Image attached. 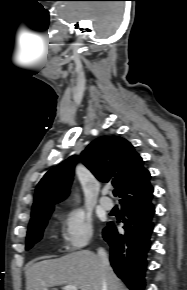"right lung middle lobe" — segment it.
Masks as SVG:
<instances>
[{
    "label": "right lung middle lobe",
    "mask_w": 187,
    "mask_h": 290,
    "mask_svg": "<svg viewBox=\"0 0 187 290\" xmlns=\"http://www.w3.org/2000/svg\"><path fill=\"white\" fill-rule=\"evenodd\" d=\"M51 213L52 212L43 214L30 222L27 232L26 250L32 248V246L42 238L44 228Z\"/></svg>",
    "instance_id": "right-lung-middle-lobe-1"
}]
</instances>
